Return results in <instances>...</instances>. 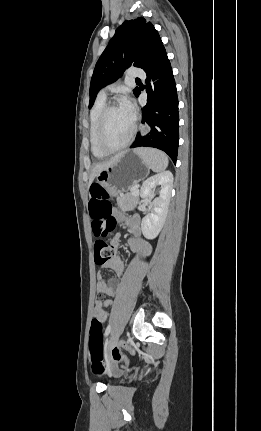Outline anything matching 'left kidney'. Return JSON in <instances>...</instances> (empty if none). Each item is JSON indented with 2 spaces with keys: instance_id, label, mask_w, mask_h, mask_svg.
Instances as JSON below:
<instances>
[{
  "instance_id": "left-kidney-1",
  "label": "left kidney",
  "mask_w": 261,
  "mask_h": 431,
  "mask_svg": "<svg viewBox=\"0 0 261 431\" xmlns=\"http://www.w3.org/2000/svg\"><path fill=\"white\" fill-rule=\"evenodd\" d=\"M173 185V175L170 171L158 173L143 182L140 196L144 199L151 200L153 198V190L160 186L159 197L151 202L152 211L142 219V233L147 239H154L161 231L166 216L171 198V190Z\"/></svg>"
}]
</instances>
